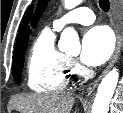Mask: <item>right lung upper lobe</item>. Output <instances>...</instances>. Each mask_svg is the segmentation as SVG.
Listing matches in <instances>:
<instances>
[{"label":"right lung upper lobe","mask_w":123,"mask_h":113,"mask_svg":"<svg viewBox=\"0 0 123 113\" xmlns=\"http://www.w3.org/2000/svg\"><path fill=\"white\" fill-rule=\"evenodd\" d=\"M32 9H33V6L29 7L23 16L22 23L20 25V32L18 34L15 50H17L19 47L23 46L24 44H27L28 35H29L28 34L29 33L28 22H29V19L31 17V14H32Z\"/></svg>","instance_id":"obj_1"}]
</instances>
